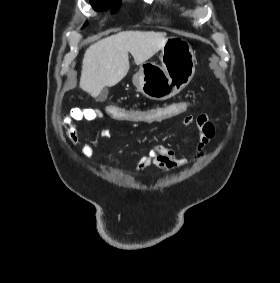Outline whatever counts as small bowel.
<instances>
[{"label":"small bowel","mask_w":280,"mask_h":283,"mask_svg":"<svg viewBox=\"0 0 280 283\" xmlns=\"http://www.w3.org/2000/svg\"><path fill=\"white\" fill-rule=\"evenodd\" d=\"M187 103L189 102L187 101ZM184 113L185 112H183V114ZM103 116L104 111L97 108H89L85 110H79L74 113H68L66 118L64 119V123L68 131V138L70 143L73 146L78 145L79 136L77 129L80 123L96 122L101 120ZM183 124L186 126L196 125L198 127L199 144L196 154L191 159L181 158L178 157L173 150L162 146H157L148 150V152L139 159L136 167L137 172H143L150 166H156L164 173H169L176 169L183 168L192 163L198 162L203 158L205 154V148L214 137L217 126L209 119L207 115L204 114L199 115L196 118L192 117L191 115H187L183 119ZM99 136L102 139L109 138L110 129L102 128L99 132ZM81 152L82 156L87 160L92 159L94 156V149L89 143L83 145Z\"/></svg>","instance_id":"obj_1"}]
</instances>
